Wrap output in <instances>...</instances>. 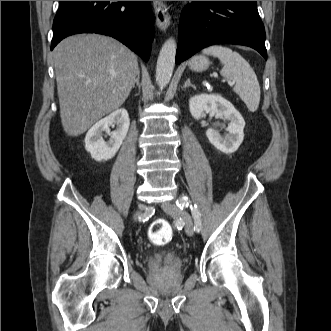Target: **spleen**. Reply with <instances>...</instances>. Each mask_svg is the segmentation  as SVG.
Instances as JSON below:
<instances>
[{
	"mask_svg": "<svg viewBox=\"0 0 331 331\" xmlns=\"http://www.w3.org/2000/svg\"><path fill=\"white\" fill-rule=\"evenodd\" d=\"M203 54L217 57L223 65L220 74L232 79L236 84L233 88L251 112L258 109L260 102V86L257 76L250 64L232 49L212 45L203 50Z\"/></svg>",
	"mask_w": 331,
	"mask_h": 331,
	"instance_id": "3e777b00",
	"label": "spleen"
}]
</instances>
